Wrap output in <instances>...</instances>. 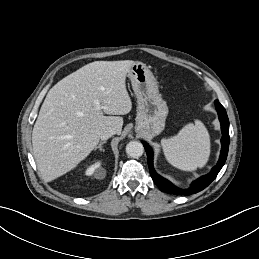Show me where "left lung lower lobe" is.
I'll return each instance as SVG.
<instances>
[{"mask_svg":"<svg viewBox=\"0 0 259 259\" xmlns=\"http://www.w3.org/2000/svg\"><path fill=\"white\" fill-rule=\"evenodd\" d=\"M216 110L218 112L219 120L221 122L222 138H221V154L217 165L211 170V172L205 176L200 177L194 181L190 188L180 189L175 187L165 178L159 176L153 168V152L151 148L145 142H142L147 153V162L149 166V171L151 177L155 184L159 187L162 192H166L174 195H191L198 193L199 191L206 188L218 175L221 168L224 166L227 159L228 148H229V120L225 108L219 103L218 100L215 101Z\"/></svg>","mask_w":259,"mask_h":259,"instance_id":"1","label":"left lung lower lobe"}]
</instances>
